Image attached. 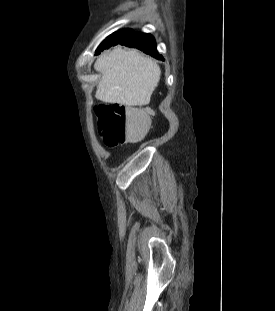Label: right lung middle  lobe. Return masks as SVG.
I'll return each mask as SVG.
<instances>
[{
    "mask_svg": "<svg viewBox=\"0 0 275 311\" xmlns=\"http://www.w3.org/2000/svg\"><path fill=\"white\" fill-rule=\"evenodd\" d=\"M134 34L132 29H123L118 32H114L113 34L109 35L97 48L96 54H99L104 49L110 48L111 46H115L120 44L130 36Z\"/></svg>",
    "mask_w": 275,
    "mask_h": 311,
    "instance_id": "right-lung-middle-lobe-1",
    "label": "right lung middle lobe"
}]
</instances>
